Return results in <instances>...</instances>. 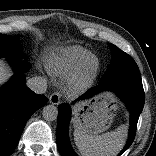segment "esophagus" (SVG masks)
Returning a JSON list of instances; mask_svg holds the SVG:
<instances>
[{
	"instance_id": "esophagus-1",
	"label": "esophagus",
	"mask_w": 156,
	"mask_h": 156,
	"mask_svg": "<svg viewBox=\"0 0 156 156\" xmlns=\"http://www.w3.org/2000/svg\"><path fill=\"white\" fill-rule=\"evenodd\" d=\"M49 101L53 105H58L60 103V94L58 92H54L50 95Z\"/></svg>"
}]
</instances>
